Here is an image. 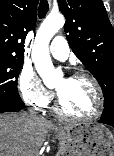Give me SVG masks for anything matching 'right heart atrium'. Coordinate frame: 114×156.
<instances>
[{
    "label": "right heart atrium",
    "instance_id": "right-heart-atrium-1",
    "mask_svg": "<svg viewBox=\"0 0 114 156\" xmlns=\"http://www.w3.org/2000/svg\"><path fill=\"white\" fill-rule=\"evenodd\" d=\"M17 89L23 101L37 109L46 108L53 99V93L41 82L29 66H24L17 78Z\"/></svg>",
    "mask_w": 114,
    "mask_h": 156
}]
</instances>
